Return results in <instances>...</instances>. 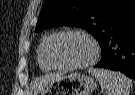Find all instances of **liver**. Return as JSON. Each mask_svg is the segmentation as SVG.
Masks as SVG:
<instances>
[{
    "label": "liver",
    "mask_w": 135,
    "mask_h": 95,
    "mask_svg": "<svg viewBox=\"0 0 135 95\" xmlns=\"http://www.w3.org/2000/svg\"><path fill=\"white\" fill-rule=\"evenodd\" d=\"M61 74H48L44 77L38 79L31 88V93L37 94L41 91L45 86H47L51 81L60 78Z\"/></svg>",
    "instance_id": "liver-1"
}]
</instances>
